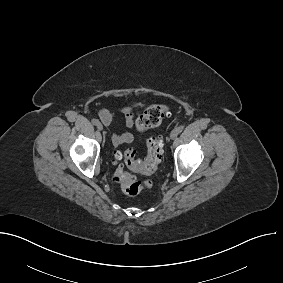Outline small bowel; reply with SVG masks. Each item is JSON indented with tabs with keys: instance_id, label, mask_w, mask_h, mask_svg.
<instances>
[{
	"instance_id": "1",
	"label": "small bowel",
	"mask_w": 283,
	"mask_h": 283,
	"mask_svg": "<svg viewBox=\"0 0 283 283\" xmlns=\"http://www.w3.org/2000/svg\"><path fill=\"white\" fill-rule=\"evenodd\" d=\"M134 110V107L131 105L122 106L118 109L119 113L123 117L125 125L128 128H132L134 125ZM99 117L105 126L111 125L116 119V115L106 108L100 110ZM133 140L134 135L131 132L114 133L112 135V143L114 146L131 143Z\"/></svg>"
}]
</instances>
